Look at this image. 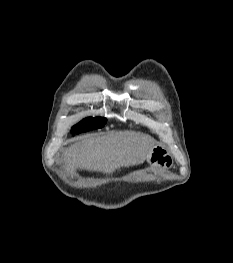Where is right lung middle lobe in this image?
I'll return each mask as SVG.
<instances>
[{
  "label": "right lung middle lobe",
  "mask_w": 233,
  "mask_h": 263,
  "mask_svg": "<svg viewBox=\"0 0 233 263\" xmlns=\"http://www.w3.org/2000/svg\"><path fill=\"white\" fill-rule=\"evenodd\" d=\"M106 123V119L105 118H93V117H88L83 119L81 122H79L78 124H76L75 126L72 127V134H79L82 132H86V131H90V130H94L97 128H101L104 126V124Z\"/></svg>",
  "instance_id": "obj_1"
}]
</instances>
